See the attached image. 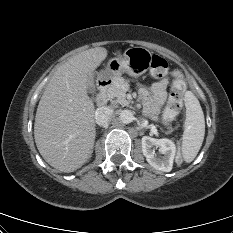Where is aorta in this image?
Wrapping results in <instances>:
<instances>
[{"instance_id":"762f6f07","label":"aorta","mask_w":233,"mask_h":233,"mask_svg":"<svg viewBox=\"0 0 233 233\" xmlns=\"http://www.w3.org/2000/svg\"><path fill=\"white\" fill-rule=\"evenodd\" d=\"M119 120L123 124H129V123H131L134 120L133 112L131 110H123V111H121V113L119 115Z\"/></svg>"}]
</instances>
